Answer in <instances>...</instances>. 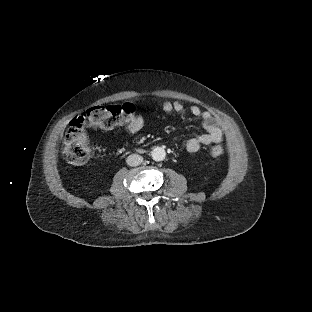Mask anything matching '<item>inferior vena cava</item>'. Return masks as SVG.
<instances>
[{
  "mask_svg": "<svg viewBox=\"0 0 312 312\" xmlns=\"http://www.w3.org/2000/svg\"><path fill=\"white\" fill-rule=\"evenodd\" d=\"M127 162L130 166H138L143 162V157L139 154H131L127 158Z\"/></svg>",
  "mask_w": 312,
  "mask_h": 312,
  "instance_id": "inferior-vena-cava-1",
  "label": "inferior vena cava"
}]
</instances>
